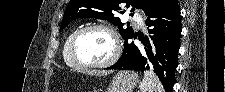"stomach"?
I'll list each match as a JSON object with an SVG mask.
<instances>
[{
    "instance_id": "obj_1",
    "label": "stomach",
    "mask_w": 225,
    "mask_h": 92,
    "mask_svg": "<svg viewBox=\"0 0 225 92\" xmlns=\"http://www.w3.org/2000/svg\"><path fill=\"white\" fill-rule=\"evenodd\" d=\"M138 84V75L134 71H119L112 79L106 92H132Z\"/></svg>"
}]
</instances>
